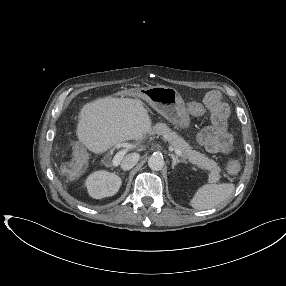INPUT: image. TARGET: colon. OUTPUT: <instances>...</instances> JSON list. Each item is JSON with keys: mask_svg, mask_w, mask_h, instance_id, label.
Masks as SVG:
<instances>
[{"mask_svg": "<svg viewBox=\"0 0 286 286\" xmlns=\"http://www.w3.org/2000/svg\"><path fill=\"white\" fill-rule=\"evenodd\" d=\"M206 102L209 103L212 107L215 105V99L211 95L206 97ZM228 168L230 172L235 173L239 170V164L237 161H232L229 163Z\"/></svg>", "mask_w": 286, "mask_h": 286, "instance_id": "obj_1", "label": "colon"}]
</instances>
